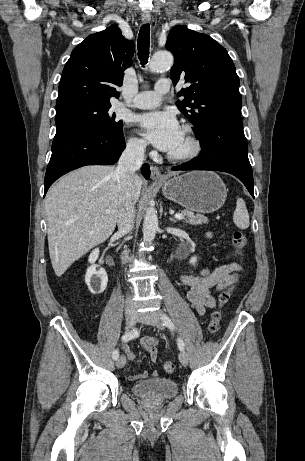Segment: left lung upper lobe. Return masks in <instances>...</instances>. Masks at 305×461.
<instances>
[{
    "mask_svg": "<svg viewBox=\"0 0 305 461\" xmlns=\"http://www.w3.org/2000/svg\"><path fill=\"white\" fill-rule=\"evenodd\" d=\"M166 49L174 55L171 79L191 85L183 88L179 110L195 126V134L219 117L240 115L242 107L239 77L228 52L214 39L183 26L174 27Z\"/></svg>",
    "mask_w": 305,
    "mask_h": 461,
    "instance_id": "1",
    "label": "left lung upper lobe"
}]
</instances>
